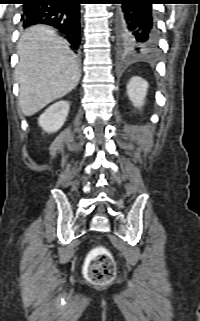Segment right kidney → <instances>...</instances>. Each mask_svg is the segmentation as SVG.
Wrapping results in <instances>:
<instances>
[{
	"mask_svg": "<svg viewBox=\"0 0 200 321\" xmlns=\"http://www.w3.org/2000/svg\"><path fill=\"white\" fill-rule=\"evenodd\" d=\"M69 102L58 101L48 107L38 119L39 126L48 133L58 131L65 123L69 112Z\"/></svg>",
	"mask_w": 200,
	"mask_h": 321,
	"instance_id": "right-kidney-1",
	"label": "right kidney"
}]
</instances>
